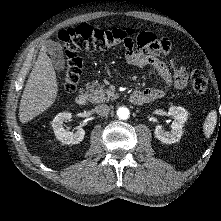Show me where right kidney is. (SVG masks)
Returning <instances> with one entry per match:
<instances>
[{
  "label": "right kidney",
  "mask_w": 221,
  "mask_h": 221,
  "mask_svg": "<svg viewBox=\"0 0 221 221\" xmlns=\"http://www.w3.org/2000/svg\"><path fill=\"white\" fill-rule=\"evenodd\" d=\"M72 115L68 112H62L55 116L51 122L56 138L64 144H78L84 136L85 130L78 128L75 133L67 131L63 128L64 121L71 119Z\"/></svg>",
  "instance_id": "1"
}]
</instances>
